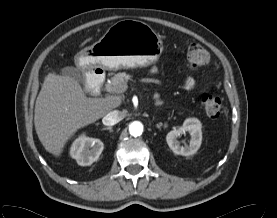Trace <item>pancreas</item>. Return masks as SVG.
Segmentation results:
<instances>
[{
  "mask_svg": "<svg viewBox=\"0 0 277 218\" xmlns=\"http://www.w3.org/2000/svg\"><path fill=\"white\" fill-rule=\"evenodd\" d=\"M131 75L125 72H119L111 78V83L107 84V90L111 93L121 94L127 90L128 80L131 79Z\"/></svg>",
  "mask_w": 277,
  "mask_h": 218,
  "instance_id": "1",
  "label": "pancreas"
}]
</instances>
